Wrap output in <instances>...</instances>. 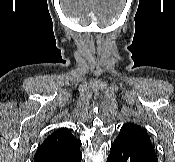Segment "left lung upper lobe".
I'll use <instances>...</instances> for the list:
<instances>
[{
    "mask_svg": "<svg viewBox=\"0 0 175 162\" xmlns=\"http://www.w3.org/2000/svg\"><path fill=\"white\" fill-rule=\"evenodd\" d=\"M118 136H126L135 140L151 142L147 132L134 123H127L122 126Z\"/></svg>",
    "mask_w": 175,
    "mask_h": 162,
    "instance_id": "obj_1",
    "label": "left lung upper lobe"
}]
</instances>
